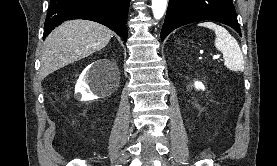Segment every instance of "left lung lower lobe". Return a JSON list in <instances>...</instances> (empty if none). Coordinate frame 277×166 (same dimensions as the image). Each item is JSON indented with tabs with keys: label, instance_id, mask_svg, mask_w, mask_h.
<instances>
[{
	"label": "left lung lower lobe",
	"instance_id": "0a47b994",
	"mask_svg": "<svg viewBox=\"0 0 277 166\" xmlns=\"http://www.w3.org/2000/svg\"><path fill=\"white\" fill-rule=\"evenodd\" d=\"M205 20L226 24L241 36L237 15L231 0H169L161 30V40L176 28Z\"/></svg>",
	"mask_w": 277,
	"mask_h": 166
}]
</instances>
